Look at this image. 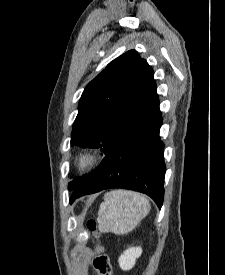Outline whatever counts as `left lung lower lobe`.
I'll return each mask as SVG.
<instances>
[{
	"instance_id": "1",
	"label": "left lung lower lobe",
	"mask_w": 225,
	"mask_h": 275,
	"mask_svg": "<svg viewBox=\"0 0 225 275\" xmlns=\"http://www.w3.org/2000/svg\"><path fill=\"white\" fill-rule=\"evenodd\" d=\"M159 99L130 127L100 165L75 189L76 198L109 188H125L150 196L160 208L164 196V144Z\"/></svg>"
}]
</instances>
